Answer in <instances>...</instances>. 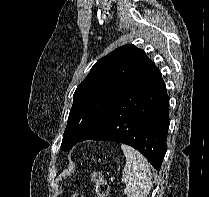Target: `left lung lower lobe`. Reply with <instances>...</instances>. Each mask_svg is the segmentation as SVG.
Instances as JSON below:
<instances>
[{
    "mask_svg": "<svg viewBox=\"0 0 209 197\" xmlns=\"http://www.w3.org/2000/svg\"><path fill=\"white\" fill-rule=\"evenodd\" d=\"M169 99L154 65L135 85L117 98L84 140L115 141L141 152L159 171L166 152Z\"/></svg>",
    "mask_w": 209,
    "mask_h": 197,
    "instance_id": "0a47b994",
    "label": "left lung lower lobe"
}]
</instances>
